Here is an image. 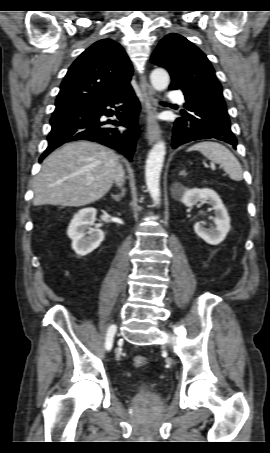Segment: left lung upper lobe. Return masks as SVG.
I'll list each match as a JSON object with an SVG mask.
<instances>
[{"label":"left lung upper lobe","mask_w":270,"mask_h":453,"mask_svg":"<svg viewBox=\"0 0 270 453\" xmlns=\"http://www.w3.org/2000/svg\"><path fill=\"white\" fill-rule=\"evenodd\" d=\"M151 62L169 71L172 78L170 88L181 89L187 103L229 120L222 87L212 65L206 55L185 37L176 33L165 36L152 54Z\"/></svg>","instance_id":"5c2ea615"}]
</instances>
